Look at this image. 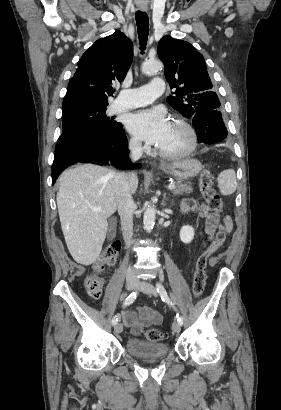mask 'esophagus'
<instances>
[{
    "label": "esophagus",
    "instance_id": "34e87169",
    "mask_svg": "<svg viewBox=\"0 0 281 410\" xmlns=\"http://www.w3.org/2000/svg\"><path fill=\"white\" fill-rule=\"evenodd\" d=\"M159 165H160V166H164V165H165V163H160Z\"/></svg>",
    "mask_w": 281,
    "mask_h": 410
}]
</instances>
